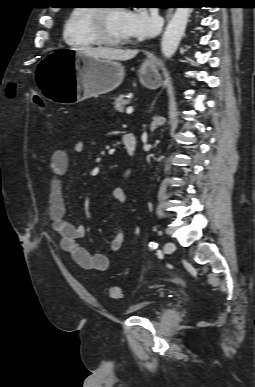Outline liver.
<instances>
[{"instance_id":"1","label":"liver","mask_w":255,"mask_h":387,"mask_svg":"<svg viewBox=\"0 0 255 387\" xmlns=\"http://www.w3.org/2000/svg\"><path fill=\"white\" fill-rule=\"evenodd\" d=\"M77 51L94 58H100L111 61H127L134 58L138 54V50H122L106 47H82Z\"/></svg>"}]
</instances>
